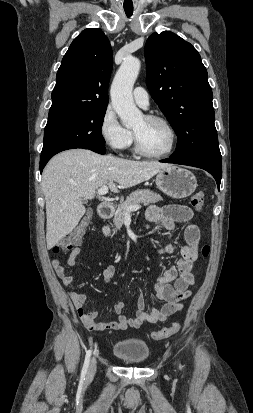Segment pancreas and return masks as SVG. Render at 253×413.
<instances>
[{
	"instance_id": "pancreas-1",
	"label": "pancreas",
	"mask_w": 253,
	"mask_h": 413,
	"mask_svg": "<svg viewBox=\"0 0 253 413\" xmlns=\"http://www.w3.org/2000/svg\"><path fill=\"white\" fill-rule=\"evenodd\" d=\"M160 200H162V197L159 194L154 193L148 189H141V190H136L135 192H132L127 197V199L118 206V208L115 211L114 218H113L115 229L113 230V234H115V232L122 227V224L125 220L127 209L129 207L134 206V205H139L140 203H144L145 205H150ZM103 233L105 236H113V234L111 235V230L109 226H105L103 228Z\"/></svg>"
}]
</instances>
